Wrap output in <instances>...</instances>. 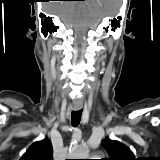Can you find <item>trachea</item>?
Here are the masks:
<instances>
[{"label": "trachea", "instance_id": "3493384b", "mask_svg": "<svg viewBox=\"0 0 160 160\" xmlns=\"http://www.w3.org/2000/svg\"><path fill=\"white\" fill-rule=\"evenodd\" d=\"M82 110L73 111L71 114V123L73 126H78L81 120Z\"/></svg>", "mask_w": 160, "mask_h": 160}]
</instances>
